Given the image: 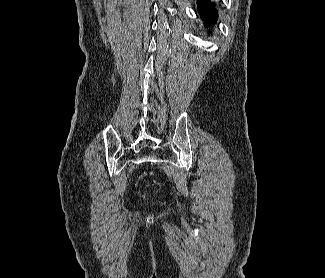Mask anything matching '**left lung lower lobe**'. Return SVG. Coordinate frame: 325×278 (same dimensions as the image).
I'll return each mask as SVG.
<instances>
[{"label": "left lung lower lobe", "instance_id": "obj_1", "mask_svg": "<svg viewBox=\"0 0 325 278\" xmlns=\"http://www.w3.org/2000/svg\"><path fill=\"white\" fill-rule=\"evenodd\" d=\"M198 10L206 24H213L217 18V11L214 9V4L210 0H198Z\"/></svg>", "mask_w": 325, "mask_h": 278}]
</instances>
